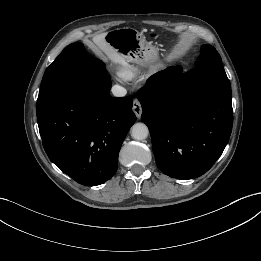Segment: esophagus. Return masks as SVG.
Returning a JSON list of instances; mask_svg holds the SVG:
<instances>
[{"instance_id":"34e87169","label":"esophagus","mask_w":261,"mask_h":261,"mask_svg":"<svg viewBox=\"0 0 261 261\" xmlns=\"http://www.w3.org/2000/svg\"><path fill=\"white\" fill-rule=\"evenodd\" d=\"M132 109H133V111H134L136 117H137L138 119H140L141 114H142V107H141L140 102H139L137 99H135V100L133 101V107H132Z\"/></svg>"}]
</instances>
